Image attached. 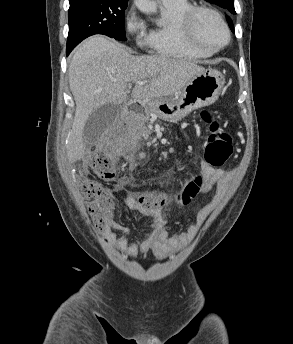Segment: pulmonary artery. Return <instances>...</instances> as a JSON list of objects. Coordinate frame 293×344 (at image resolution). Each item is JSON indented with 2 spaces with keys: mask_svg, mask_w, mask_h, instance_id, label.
Instances as JSON below:
<instances>
[{
  "mask_svg": "<svg viewBox=\"0 0 293 344\" xmlns=\"http://www.w3.org/2000/svg\"><path fill=\"white\" fill-rule=\"evenodd\" d=\"M161 3H171V2H174L176 0H160Z\"/></svg>",
  "mask_w": 293,
  "mask_h": 344,
  "instance_id": "e3ab8cb5",
  "label": "pulmonary artery"
}]
</instances>
